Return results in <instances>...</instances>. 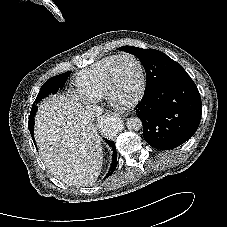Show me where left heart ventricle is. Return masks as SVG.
Listing matches in <instances>:
<instances>
[{"label":"left heart ventricle","instance_id":"obj_1","mask_svg":"<svg viewBox=\"0 0 227 227\" xmlns=\"http://www.w3.org/2000/svg\"><path fill=\"white\" fill-rule=\"evenodd\" d=\"M114 96L118 101H130L140 87V70L131 58L121 59L114 71Z\"/></svg>","mask_w":227,"mask_h":227}]
</instances>
